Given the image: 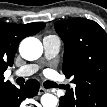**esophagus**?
Segmentation results:
<instances>
[{
	"label": "esophagus",
	"instance_id": "esophagus-1",
	"mask_svg": "<svg viewBox=\"0 0 107 107\" xmlns=\"http://www.w3.org/2000/svg\"><path fill=\"white\" fill-rule=\"evenodd\" d=\"M47 91H48V90H46L45 88L40 87V88H39V91H38V94L41 95V94H43V93H45V92H47Z\"/></svg>",
	"mask_w": 107,
	"mask_h": 107
}]
</instances>
